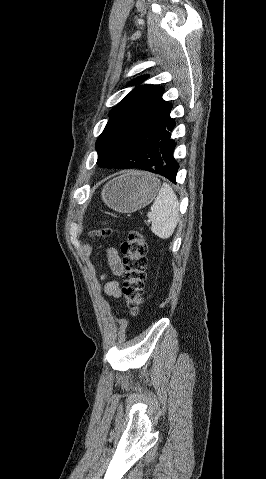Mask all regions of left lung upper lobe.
I'll return each mask as SVG.
<instances>
[{"instance_id":"1","label":"left lung upper lobe","mask_w":266,"mask_h":479,"mask_svg":"<svg viewBox=\"0 0 266 479\" xmlns=\"http://www.w3.org/2000/svg\"><path fill=\"white\" fill-rule=\"evenodd\" d=\"M147 76L130 82L140 84ZM159 85H138L109 113L98 137L97 164L104 168H135L153 159L172 105L162 99Z\"/></svg>"}]
</instances>
